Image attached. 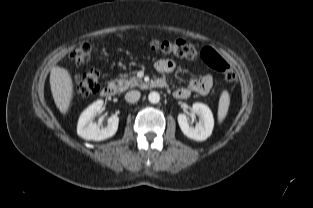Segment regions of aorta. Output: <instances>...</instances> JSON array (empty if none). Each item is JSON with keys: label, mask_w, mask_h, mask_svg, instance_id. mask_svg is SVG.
Here are the masks:
<instances>
[{"label": "aorta", "mask_w": 313, "mask_h": 208, "mask_svg": "<svg viewBox=\"0 0 313 208\" xmlns=\"http://www.w3.org/2000/svg\"><path fill=\"white\" fill-rule=\"evenodd\" d=\"M148 100L150 103H153V104H156L160 101V95L159 93L153 91V92H150L149 95H148Z\"/></svg>", "instance_id": "obj_1"}]
</instances>
